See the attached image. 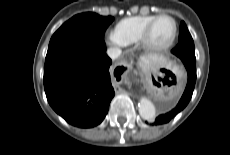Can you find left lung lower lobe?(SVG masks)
<instances>
[{"label": "left lung lower lobe", "instance_id": "obj_1", "mask_svg": "<svg viewBox=\"0 0 230 155\" xmlns=\"http://www.w3.org/2000/svg\"><path fill=\"white\" fill-rule=\"evenodd\" d=\"M182 62L184 63L188 74V81L185 91L176 107L167 113L159 115L152 123V125H161L168 123L172 118H174L180 111H182L186 107L192 97L196 82V61L194 62L191 59H185L182 60Z\"/></svg>", "mask_w": 230, "mask_h": 155}]
</instances>
